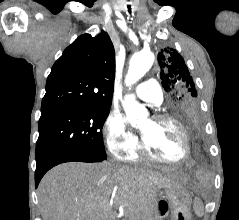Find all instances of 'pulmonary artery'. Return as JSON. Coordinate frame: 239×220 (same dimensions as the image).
<instances>
[{
	"label": "pulmonary artery",
	"mask_w": 239,
	"mask_h": 220,
	"mask_svg": "<svg viewBox=\"0 0 239 220\" xmlns=\"http://www.w3.org/2000/svg\"><path fill=\"white\" fill-rule=\"evenodd\" d=\"M134 93L139 99L155 105H160L163 101L162 89L155 79H149L139 84Z\"/></svg>",
	"instance_id": "pulmonary-artery-1"
}]
</instances>
